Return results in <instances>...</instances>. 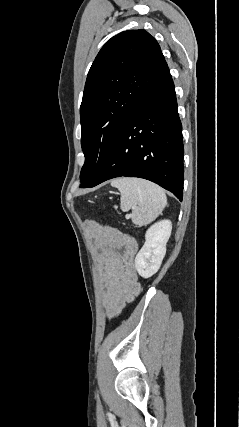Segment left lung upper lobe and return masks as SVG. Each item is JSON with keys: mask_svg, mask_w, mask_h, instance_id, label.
<instances>
[{"mask_svg": "<svg viewBox=\"0 0 239 427\" xmlns=\"http://www.w3.org/2000/svg\"><path fill=\"white\" fill-rule=\"evenodd\" d=\"M170 74L160 46L145 30L112 37L96 56L80 106L85 155L80 187L90 185L139 104Z\"/></svg>", "mask_w": 239, "mask_h": 427, "instance_id": "1", "label": "left lung upper lobe"}]
</instances>
